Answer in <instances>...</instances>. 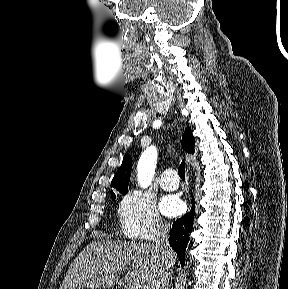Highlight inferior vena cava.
I'll return each mask as SVG.
<instances>
[{
  "label": "inferior vena cava",
  "mask_w": 288,
  "mask_h": 289,
  "mask_svg": "<svg viewBox=\"0 0 288 289\" xmlns=\"http://www.w3.org/2000/svg\"><path fill=\"white\" fill-rule=\"evenodd\" d=\"M169 231V224L162 225L155 240L154 246L155 251L158 253L162 263L164 264L163 275L165 279H168L171 276L174 265L173 251L169 245Z\"/></svg>",
  "instance_id": "1"
}]
</instances>
